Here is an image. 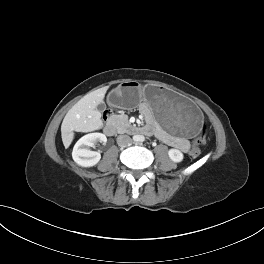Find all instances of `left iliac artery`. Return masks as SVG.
Masks as SVG:
<instances>
[{
  "mask_svg": "<svg viewBox=\"0 0 264 264\" xmlns=\"http://www.w3.org/2000/svg\"><path fill=\"white\" fill-rule=\"evenodd\" d=\"M144 139H145V138H144V137H142V138H141V141H144Z\"/></svg>",
  "mask_w": 264,
  "mask_h": 264,
  "instance_id": "1",
  "label": "left iliac artery"
}]
</instances>
